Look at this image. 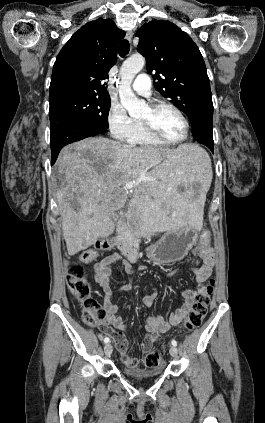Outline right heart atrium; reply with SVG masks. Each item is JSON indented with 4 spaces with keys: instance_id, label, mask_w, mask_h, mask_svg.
I'll use <instances>...</instances> for the list:
<instances>
[{
    "instance_id": "1",
    "label": "right heart atrium",
    "mask_w": 265,
    "mask_h": 423,
    "mask_svg": "<svg viewBox=\"0 0 265 423\" xmlns=\"http://www.w3.org/2000/svg\"><path fill=\"white\" fill-rule=\"evenodd\" d=\"M107 122L112 136L120 141H128L135 126L126 110L117 103H112L107 113Z\"/></svg>"
}]
</instances>
